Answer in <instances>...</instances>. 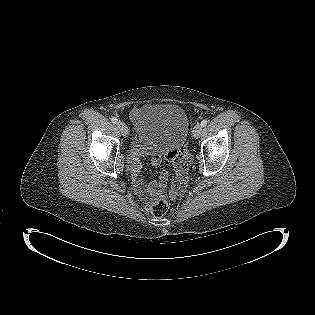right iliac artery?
<instances>
[{"mask_svg":"<svg viewBox=\"0 0 315 315\" xmlns=\"http://www.w3.org/2000/svg\"><path fill=\"white\" fill-rule=\"evenodd\" d=\"M112 123L117 124L118 123V119L116 117H112L111 119Z\"/></svg>","mask_w":315,"mask_h":315,"instance_id":"1","label":"right iliac artery"}]
</instances>
